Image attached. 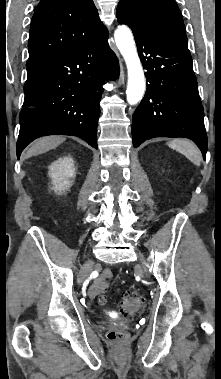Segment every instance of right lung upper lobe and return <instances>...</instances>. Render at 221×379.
Listing matches in <instances>:
<instances>
[{
    "label": "right lung upper lobe",
    "mask_w": 221,
    "mask_h": 379,
    "mask_svg": "<svg viewBox=\"0 0 221 379\" xmlns=\"http://www.w3.org/2000/svg\"><path fill=\"white\" fill-rule=\"evenodd\" d=\"M103 29L93 0H41L31 21L26 65L75 48Z\"/></svg>",
    "instance_id": "1"
}]
</instances>
